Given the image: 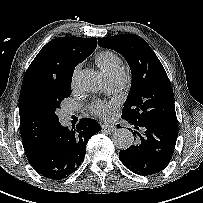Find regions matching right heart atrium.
I'll return each instance as SVG.
<instances>
[{
    "instance_id": "1",
    "label": "right heart atrium",
    "mask_w": 203,
    "mask_h": 203,
    "mask_svg": "<svg viewBox=\"0 0 203 203\" xmlns=\"http://www.w3.org/2000/svg\"><path fill=\"white\" fill-rule=\"evenodd\" d=\"M79 71H80V66L77 65L74 68L73 72H72V77H71V84H72V86L76 85V81H77V77H78Z\"/></svg>"
}]
</instances>
